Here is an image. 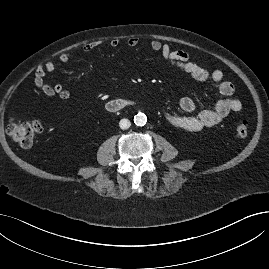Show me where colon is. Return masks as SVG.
I'll return each instance as SVG.
<instances>
[{
	"instance_id": "1",
	"label": "colon",
	"mask_w": 269,
	"mask_h": 269,
	"mask_svg": "<svg viewBox=\"0 0 269 269\" xmlns=\"http://www.w3.org/2000/svg\"><path fill=\"white\" fill-rule=\"evenodd\" d=\"M41 131V124L36 121L20 122L11 120L7 126L8 135L23 148H29ZM236 135L240 139L248 136V127L240 122L236 127Z\"/></svg>"
}]
</instances>
